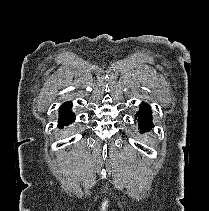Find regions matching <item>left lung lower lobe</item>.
Segmentation results:
<instances>
[{"mask_svg":"<svg viewBox=\"0 0 209 211\" xmlns=\"http://www.w3.org/2000/svg\"><path fill=\"white\" fill-rule=\"evenodd\" d=\"M136 118H138L141 133L149 131L153 127L151 110L148 105L144 103L140 105V111L136 114Z\"/></svg>","mask_w":209,"mask_h":211,"instance_id":"0a47b994","label":"left lung lower lobe"}]
</instances>
